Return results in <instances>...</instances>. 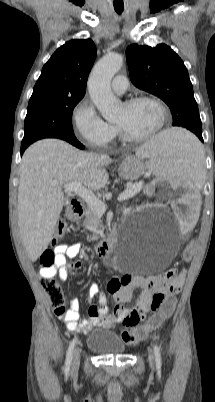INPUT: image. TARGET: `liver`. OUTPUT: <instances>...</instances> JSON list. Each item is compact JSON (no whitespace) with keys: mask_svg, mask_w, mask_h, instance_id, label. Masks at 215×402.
<instances>
[{"mask_svg":"<svg viewBox=\"0 0 215 402\" xmlns=\"http://www.w3.org/2000/svg\"><path fill=\"white\" fill-rule=\"evenodd\" d=\"M111 159L79 151L58 139H43L23 154L18 187V224L32 262L47 249L64 205L62 184L80 182L100 190L109 179Z\"/></svg>","mask_w":215,"mask_h":402,"instance_id":"obj_1","label":"liver"}]
</instances>
